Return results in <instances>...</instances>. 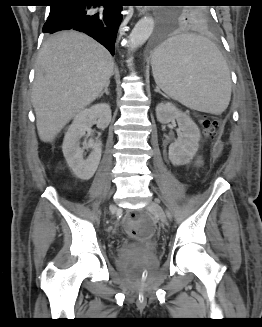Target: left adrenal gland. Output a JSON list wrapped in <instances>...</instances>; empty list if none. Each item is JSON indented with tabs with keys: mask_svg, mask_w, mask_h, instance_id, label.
Wrapping results in <instances>:
<instances>
[{
	"mask_svg": "<svg viewBox=\"0 0 262 327\" xmlns=\"http://www.w3.org/2000/svg\"><path fill=\"white\" fill-rule=\"evenodd\" d=\"M155 92L161 93V91L158 87H156Z\"/></svg>",
	"mask_w": 262,
	"mask_h": 327,
	"instance_id": "obj_1",
	"label": "left adrenal gland"
}]
</instances>
